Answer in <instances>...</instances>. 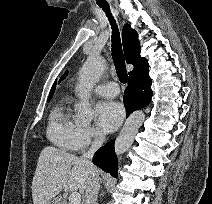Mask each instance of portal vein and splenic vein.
Here are the masks:
<instances>
[{"mask_svg":"<svg viewBox=\"0 0 212 204\" xmlns=\"http://www.w3.org/2000/svg\"><path fill=\"white\" fill-rule=\"evenodd\" d=\"M69 200L71 204H80L81 195L78 192H73L70 194Z\"/></svg>","mask_w":212,"mask_h":204,"instance_id":"portal-vein-and-splenic-vein-1","label":"portal vein and splenic vein"}]
</instances>
